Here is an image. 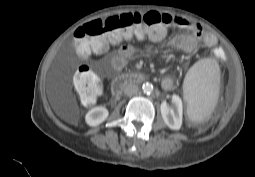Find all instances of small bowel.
<instances>
[{"label":"small bowel","instance_id":"1","mask_svg":"<svg viewBox=\"0 0 255 177\" xmlns=\"http://www.w3.org/2000/svg\"><path fill=\"white\" fill-rule=\"evenodd\" d=\"M166 21L167 27L173 26L190 32L188 35L180 34L174 36L169 42L168 45L171 48L176 50L191 52L195 50L199 45L214 46L216 39L213 35L204 33L202 27L189 19L172 16L169 14H163ZM166 34V29L164 34L160 38L155 40L162 39ZM104 52V51H103ZM101 53V52H98ZM134 49L129 44H123L120 46L112 58V68L114 71H121L128 63L129 59L132 57ZM161 85L165 90H171L174 87V80L170 76H165Z\"/></svg>","mask_w":255,"mask_h":177}]
</instances>
